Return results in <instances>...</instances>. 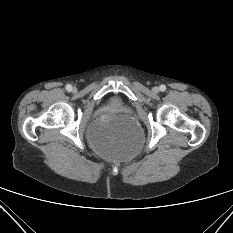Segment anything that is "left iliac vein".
Wrapping results in <instances>:
<instances>
[{"label": "left iliac vein", "mask_w": 233, "mask_h": 233, "mask_svg": "<svg viewBox=\"0 0 233 233\" xmlns=\"http://www.w3.org/2000/svg\"><path fill=\"white\" fill-rule=\"evenodd\" d=\"M159 90H160V89H159L158 87H154V88H153V92H154V93H158Z\"/></svg>", "instance_id": "obj_1"}]
</instances>
